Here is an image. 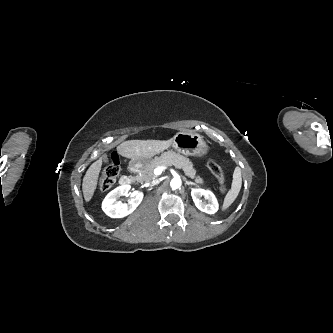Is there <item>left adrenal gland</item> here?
Returning <instances> with one entry per match:
<instances>
[{
    "instance_id": "a2214340",
    "label": "left adrenal gland",
    "mask_w": 333,
    "mask_h": 333,
    "mask_svg": "<svg viewBox=\"0 0 333 333\" xmlns=\"http://www.w3.org/2000/svg\"><path fill=\"white\" fill-rule=\"evenodd\" d=\"M186 184H187V185H193V186H197V184H196V183H194V182H191V181H188V180H186Z\"/></svg>"
}]
</instances>
